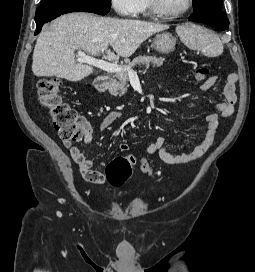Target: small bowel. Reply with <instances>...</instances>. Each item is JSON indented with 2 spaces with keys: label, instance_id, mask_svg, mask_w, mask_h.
<instances>
[{
  "label": "small bowel",
  "instance_id": "1",
  "mask_svg": "<svg viewBox=\"0 0 255 272\" xmlns=\"http://www.w3.org/2000/svg\"><path fill=\"white\" fill-rule=\"evenodd\" d=\"M238 76L236 73H230L226 77V83L223 88L224 101L216 104V113H210L206 116L207 131L204 134L200 142L190 151L176 153L168 148L164 147L165 137L158 136L153 142H151L146 148L147 154H157L159 159L169 165H183L188 164L194 160L201 158L207 150L212 146L219 126V119L221 117L230 116L237 102V95L235 92V85L237 83ZM218 77L212 75L205 79L200 85L202 91H207L216 85ZM125 115L123 111H111L109 112L99 123L98 129L103 131L109 128L116 120L122 118ZM84 128V143L90 145L94 137L93 127L86 121H82ZM69 149L72 160L78 165L79 170L83 178L94 184H104L106 181L105 175L94 169V161L87 157L77 146L72 145L69 142L64 143ZM121 151L129 150V145L126 142H122L119 145Z\"/></svg>",
  "mask_w": 255,
  "mask_h": 272
}]
</instances>
